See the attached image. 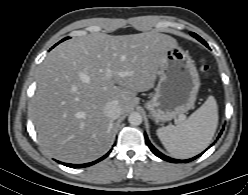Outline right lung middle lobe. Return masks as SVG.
<instances>
[{"mask_svg": "<svg viewBox=\"0 0 248 195\" xmlns=\"http://www.w3.org/2000/svg\"><path fill=\"white\" fill-rule=\"evenodd\" d=\"M66 39H68V38L63 39L62 41L66 40ZM62 41H61V42H62Z\"/></svg>", "mask_w": 248, "mask_h": 195, "instance_id": "obj_1", "label": "right lung middle lobe"}]
</instances>
